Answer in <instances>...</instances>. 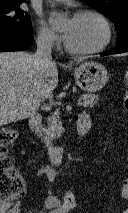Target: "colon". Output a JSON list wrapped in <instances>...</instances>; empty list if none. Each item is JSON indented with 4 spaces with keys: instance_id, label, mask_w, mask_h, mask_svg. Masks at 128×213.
Here are the masks:
<instances>
[{
    "instance_id": "colon-1",
    "label": "colon",
    "mask_w": 128,
    "mask_h": 213,
    "mask_svg": "<svg viewBox=\"0 0 128 213\" xmlns=\"http://www.w3.org/2000/svg\"><path fill=\"white\" fill-rule=\"evenodd\" d=\"M124 82L127 91L124 96V108L128 111V70L124 73ZM19 131L15 127L0 129V200L14 201L21 197L25 191V182L20 173L12 164L9 148L17 139ZM122 195L128 198V178L124 180ZM76 199L71 190H68L62 200L61 211L70 213L75 207Z\"/></svg>"
}]
</instances>
